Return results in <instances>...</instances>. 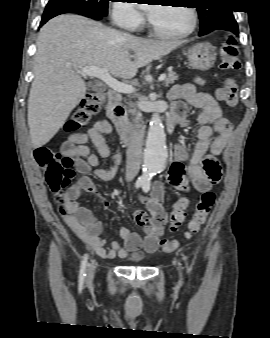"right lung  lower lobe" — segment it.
<instances>
[{
	"instance_id": "right-lung-lower-lobe-1",
	"label": "right lung lower lobe",
	"mask_w": 270,
	"mask_h": 338,
	"mask_svg": "<svg viewBox=\"0 0 270 338\" xmlns=\"http://www.w3.org/2000/svg\"><path fill=\"white\" fill-rule=\"evenodd\" d=\"M64 13H77V14H81L96 20H101L104 16L100 15V14H96L93 12H89V11H83V10H74V11H65V10H50V11H45L43 16H42V21L40 23V27L45 24L49 19L60 15V14H64Z\"/></svg>"
}]
</instances>
